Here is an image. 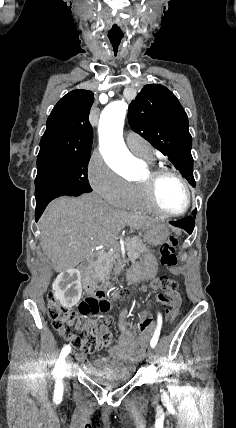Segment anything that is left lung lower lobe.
Instances as JSON below:
<instances>
[{
    "label": "left lung lower lobe",
    "instance_id": "obj_1",
    "mask_svg": "<svg viewBox=\"0 0 236 428\" xmlns=\"http://www.w3.org/2000/svg\"><path fill=\"white\" fill-rule=\"evenodd\" d=\"M193 216L186 217L184 219L170 222L173 226L180 227L184 230H186L189 234H192V231L194 229V219L196 216V209L192 212Z\"/></svg>",
    "mask_w": 236,
    "mask_h": 428
}]
</instances>
